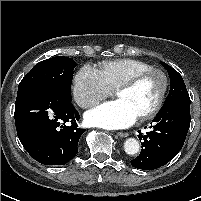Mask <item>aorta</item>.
<instances>
[{
  "instance_id": "aorta-1",
  "label": "aorta",
  "mask_w": 201,
  "mask_h": 201,
  "mask_svg": "<svg viewBox=\"0 0 201 201\" xmlns=\"http://www.w3.org/2000/svg\"><path fill=\"white\" fill-rule=\"evenodd\" d=\"M140 145L135 138H128L124 142V150L128 155H134L139 152Z\"/></svg>"
}]
</instances>
